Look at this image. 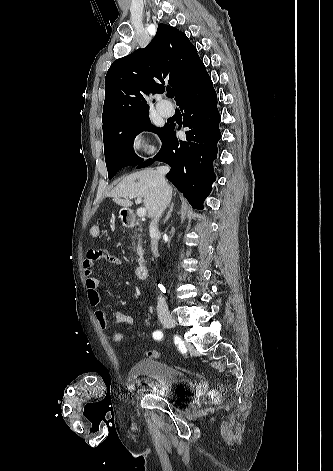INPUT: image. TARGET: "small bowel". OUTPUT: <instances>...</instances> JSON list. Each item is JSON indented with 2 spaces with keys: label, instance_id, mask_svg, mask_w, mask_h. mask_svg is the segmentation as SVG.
Wrapping results in <instances>:
<instances>
[{
  "label": "small bowel",
  "instance_id": "small-bowel-1",
  "mask_svg": "<svg viewBox=\"0 0 333 471\" xmlns=\"http://www.w3.org/2000/svg\"><path fill=\"white\" fill-rule=\"evenodd\" d=\"M99 260H104L116 265H122V260L105 249H92L87 252L83 261V272L86 279L88 301L90 305L94 307V316L98 325L102 330H107L109 328V322L106 313L99 307L101 302V295L98 290L99 279L94 275V265L95 262ZM114 321L116 324H135V319L131 315L122 312H117L115 314ZM149 322L150 320L147 318L145 319L144 324L148 325Z\"/></svg>",
  "mask_w": 333,
  "mask_h": 471
}]
</instances>
